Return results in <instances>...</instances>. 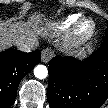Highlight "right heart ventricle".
Returning a JSON list of instances; mask_svg holds the SVG:
<instances>
[{
  "instance_id": "1",
  "label": "right heart ventricle",
  "mask_w": 108,
  "mask_h": 108,
  "mask_svg": "<svg viewBox=\"0 0 108 108\" xmlns=\"http://www.w3.org/2000/svg\"><path fill=\"white\" fill-rule=\"evenodd\" d=\"M76 20V17H69L68 19L56 24L53 27L54 32H59L65 28H67L68 26H70L74 21Z\"/></svg>"
}]
</instances>
